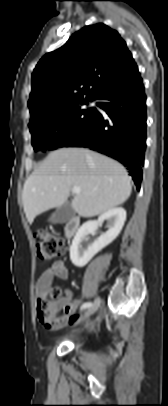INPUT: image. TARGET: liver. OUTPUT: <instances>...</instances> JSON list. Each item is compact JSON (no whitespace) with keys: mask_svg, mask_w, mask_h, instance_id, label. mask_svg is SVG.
Here are the masks:
<instances>
[{"mask_svg":"<svg viewBox=\"0 0 168 406\" xmlns=\"http://www.w3.org/2000/svg\"><path fill=\"white\" fill-rule=\"evenodd\" d=\"M75 186L81 193L70 205L86 218L123 204L132 191L131 178L117 161L89 149H58L49 153L24 184L22 202L28 222L61 207Z\"/></svg>","mask_w":168,"mask_h":406,"instance_id":"obj_1","label":"liver"}]
</instances>
